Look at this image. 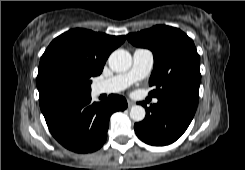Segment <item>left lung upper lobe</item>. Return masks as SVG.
<instances>
[{"mask_svg": "<svg viewBox=\"0 0 245 170\" xmlns=\"http://www.w3.org/2000/svg\"><path fill=\"white\" fill-rule=\"evenodd\" d=\"M127 39L153 52L154 69L149 85L154 90L149 95L181 97L198 103L200 57L192 39L180 29L165 25L128 34Z\"/></svg>", "mask_w": 245, "mask_h": 170, "instance_id": "left-lung-upper-lobe-1", "label": "left lung upper lobe"}]
</instances>
